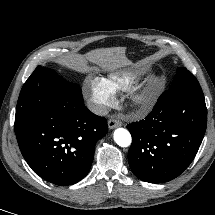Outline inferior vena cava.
<instances>
[{"mask_svg":"<svg viewBox=\"0 0 215 215\" xmlns=\"http://www.w3.org/2000/svg\"><path fill=\"white\" fill-rule=\"evenodd\" d=\"M88 106H89V109L97 115L105 116L108 114V107L104 105L90 103Z\"/></svg>","mask_w":215,"mask_h":215,"instance_id":"602c4592","label":"inferior vena cava"}]
</instances>
